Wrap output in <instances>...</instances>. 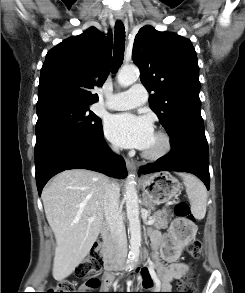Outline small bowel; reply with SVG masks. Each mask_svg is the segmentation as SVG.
<instances>
[{
	"mask_svg": "<svg viewBox=\"0 0 245 293\" xmlns=\"http://www.w3.org/2000/svg\"><path fill=\"white\" fill-rule=\"evenodd\" d=\"M149 238L152 249V262L139 270L142 287H152L151 281L154 279L156 271L159 276L160 288L168 291L171 289L173 281L182 277L187 270L185 263L176 261L185 240L178 241L169 232L161 234L156 231H150ZM162 260L169 262V264H163ZM114 283V276L108 274L104 278L102 288L108 290L114 286ZM126 283L127 285L131 284L130 278H127Z\"/></svg>",
	"mask_w": 245,
	"mask_h": 293,
	"instance_id": "c3829d8e",
	"label": "small bowel"
}]
</instances>
